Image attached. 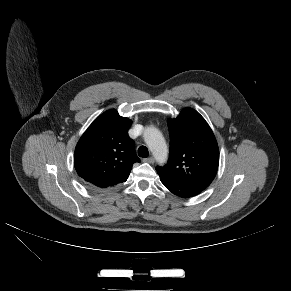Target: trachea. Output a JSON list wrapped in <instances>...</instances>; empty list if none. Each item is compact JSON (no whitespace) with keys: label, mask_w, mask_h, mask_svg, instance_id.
<instances>
[{"label":"trachea","mask_w":291,"mask_h":291,"mask_svg":"<svg viewBox=\"0 0 291 291\" xmlns=\"http://www.w3.org/2000/svg\"><path fill=\"white\" fill-rule=\"evenodd\" d=\"M138 155L142 158H147L149 156V151L146 146H140L138 149Z\"/></svg>","instance_id":"3493384b"}]
</instances>
